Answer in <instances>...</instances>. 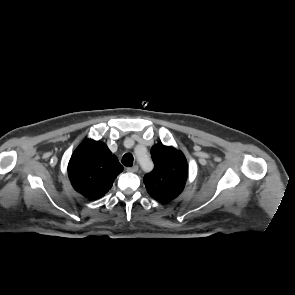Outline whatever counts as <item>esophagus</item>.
Here are the masks:
<instances>
[{
	"label": "esophagus",
	"instance_id": "obj_1",
	"mask_svg": "<svg viewBox=\"0 0 295 295\" xmlns=\"http://www.w3.org/2000/svg\"><path fill=\"white\" fill-rule=\"evenodd\" d=\"M127 171L128 172H137L138 171V166L137 165H135V166H133V167H129V168H127Z\"/></svg>",
	"mask_w": 295,
	"mask_h": 295
}]
</instances>
